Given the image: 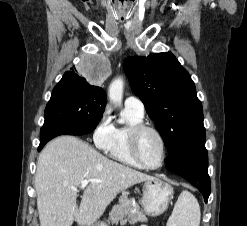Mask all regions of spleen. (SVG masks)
<instances>
[{"label": "spleen", "instance_id": "3e777b00", "mask_svg": "<svg viewBox=\"0 0 247 226\" xmlns=\"http://www.w3.org/2000/svg\"><path fill=\"white\" fill-rule=\"evenodd\" d=\"M200 218L201 212L197 199L185 190L178 197L167 226H199Z\"/></svg>", "mask_w": 247, "mask_h": 226}]
</instances>
